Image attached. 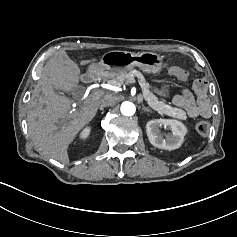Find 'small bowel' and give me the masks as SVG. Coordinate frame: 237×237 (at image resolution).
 <instances>
[{
    "label": "small bowel",
    "instance_id": "obj_1",
    "mask_svg": "<svg viewBox=\"0 0 237 237\" xmlns=\"http://www.w3.org/2000/svg\"><path fill=\"white\" fill-rule=\"evenodd\" d=\"M173 104L185 111L191 117L208 118L211 115V108L207 96V83L203 79L195 80L193 84V93L184 90L180 94H176L172 98Z\"/></svg>",
    "mask_w": 237,
    "mask_h": 237
}]
</instances>
